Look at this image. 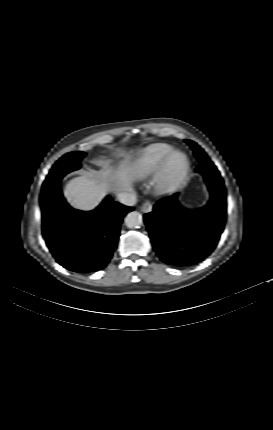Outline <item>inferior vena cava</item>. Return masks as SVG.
Returning a JSON list of instances; mask_svg holds the SVG:
<instances>
[{"label":"inferior vena cava","instance_id":"obj_1","mask_svg":"<svg viewBox=\"0 0 273 430\" xmlns=\"http://www.w3.org/2000/svg\"><path fill=\"white\" fill-rule=\"evenodd\" d=\"M117 199L126 206H134L137 201L135 193H119Z\"/></svg>","mask_w":273,"mask_h":430}]
</instances>
